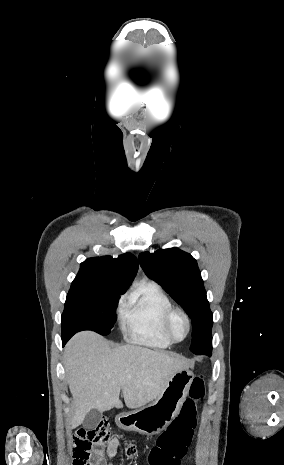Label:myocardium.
<instances>
[{"label": "myocardium", "instance_id": "obj_1", "mask_svg": "<svg viewBox=\"0 0 284 465\" xmlns=\"http://www.w3.org/2000/svg\"><path fill=\"white\" fill-rule=\"evenodd\" d=\"M177 314H181L183 316V318L185 320V323H186V327H187V334H186L185 338L182 339V340L175 339L172 336L171 331H170V325H171L172 319ZM191 328H192L191 319H190L189 315L187 314V312L184 311L183 309L176 308V307L171 308L165 314L163 322H162V332H163L164 336L173 344H179V343H182V342L186 341L188 339V337L190 336Z\"/></svg>", "mask_w": 284, "mask_h": 465}]
</instances>
